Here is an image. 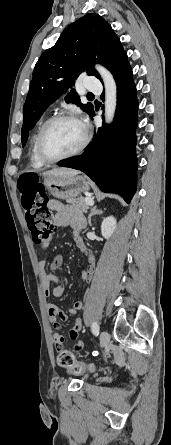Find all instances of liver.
I'll return each mask as SVG.
<instances>
[{
  "instance_id": "6515ba94",
  "label": "liver",
  "mask_w": 171,
  "mask_h": 445,
  "mask_svg": "<svg viewBox=\"0 0 171 445\" xmlns=\"http://www.w3.org/2000/svg\"><path fill=\"white\" fill-rule=\"evenodd\" d=\"M78 174L77 170L68 168H56L46 171L44 175H59V176H76Z\"/></svg>"
}]
</instances>
